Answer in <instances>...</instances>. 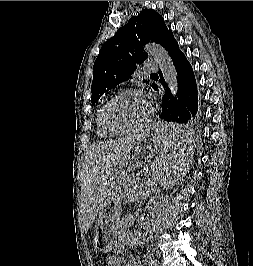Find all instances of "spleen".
<instances>
[{
    "mask_svg": "<svg viewBox=\"0 0 253 266\" xmlns=\"http://www.w3.org/2000/svg\"><path fill=\"white\" fill-rule=\"evenodd\" d=\"M191 123H161V132H174V138L162 139V150H158V160H151L148 173L151 178H143V187H177L181 179V169L189 168L191 154L195 153L193 139L187 138Z\"/></svg>",
    "mask_w": 253,
    "mask_h": 266,
    "instance_id": "obj_1",
    "label": "spleen"
}]
</instances>
